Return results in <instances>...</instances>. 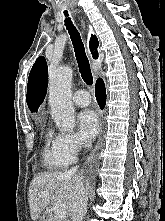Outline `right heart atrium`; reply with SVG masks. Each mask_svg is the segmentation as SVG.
I'll return each mask as SVG.
<instances>
[{
	"instance_id": "d8ad5b80",
	"label": "right heart atrium",
	"mask_w": 165,
	"mask_h": 221,
	"mask_svg": "<svg viewBox=\"0 0 165 221\" xmlns=\"http://www.w3.org/2000/svg\"><path fill=\"white\" fill-rule=\"evenodd\" d=\"M86 146L85 139L77 133H60L56 136L57 151L71 161H74Z\"/></svg>"
}]
</instances>
